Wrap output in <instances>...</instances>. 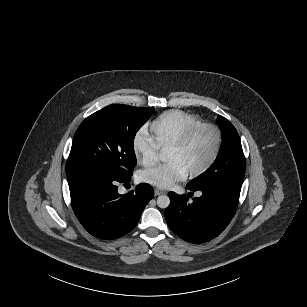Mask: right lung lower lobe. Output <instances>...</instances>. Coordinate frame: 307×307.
Returning <instances> with one entry per match:
<instances>
[{"label":"right lung lower lobe","mask_w":307,"mask_h":307,"mask_svg":"<svg viewBox=\"0 0 307 307\" xmlns=\"http://www.w3.org/2000/svg\"><path fill=\"white\" fill-rule=\"evenodd\" d=\"M131 178L109 173L79 174L68 179L71 204L82 226L93 236L112 240L130 232L154 191L142 183L133 191L120 195L117 183Z\"/></svg>","instance_id":"1"}]
</instances>
